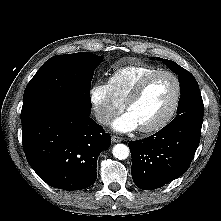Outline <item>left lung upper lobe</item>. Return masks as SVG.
I'll return each instance as SVG.
<instances>
[{
	"mask_svg": "<svg viewBox=\"0 0 221 221\" xmlns=\"http://www.w3.org/2000/svg\"><path fill=\"white\" fill-rule=\"evenodd\" d=\"M157 59L162 60L175 73H177L180 80L181 96L179 99L177 116L175 119L189 117L191 115H196L203 118L204 105L198 83L194 76L171 60L162 58Z\"/></svg>",
	"mask_w": 221,
	"mask_h": 221,
	"instance_id": "left-lung-upper-lobe-1",
	"label": "left lung upper lobe"
}]
</instances>
